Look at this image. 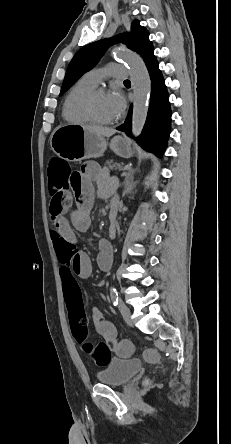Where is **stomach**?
Instances as JSON below:
<instances>
[{"label": "stomach", "mask_w": 231, "mask_h": 444, "mask_svg": "<svg viewBox=\"0 0 231 444\" xmlns=\"http://www.w3.org/2000/svg\"><path fill=\"white\" fill-rule=\"evenodd\" d=\"M50 145L59 157L70 161L97 158L103 155L107 146L121 157H130L133 153L126 137L115 136L108 143L103 137L75 124L58 126L51 135Z\"/></svg>", "instance_id": "stomach-1"}]
</instances>
